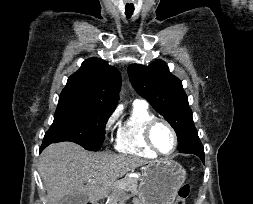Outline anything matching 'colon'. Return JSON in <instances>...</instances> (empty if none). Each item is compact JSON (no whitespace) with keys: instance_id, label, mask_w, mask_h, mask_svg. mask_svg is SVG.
<instances>
[{"instance_id":"obj_1","label":"colon","mask_w":253,"mask_h":204,"mask_svg":"<svg viewBox=\"0 0 253 204\" xmlns=\"http://www.w3.org/2000/svg\"><path fill=\"white\" fill-rule=\"evenodd\" d=\"M191 192L190 185L184 184L182 185L177 194V198L174 202V204H186V200L188 199Z\"/></svg>"}]
</instances>
